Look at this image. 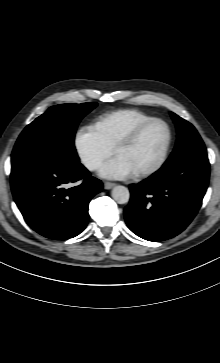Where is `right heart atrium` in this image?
Returning a JSON list of instances; mask_svg holds the SVG:
<instances>
[{"label":"right heart atrium","instance_id":"d8ad5b80","mask_svg":"<svg viewBox=\"0 0 220 363\" xmlns=\"http://www.w3.org/2000/svg\"><path fill=\"white\" fill-rule=\"evenodd\" d=\"M76 154L85 168L96 170L113 152L94 126L84 125L74 136Z\"/></svg>","mask_w":220,"mask_h":363}]
</instances>
